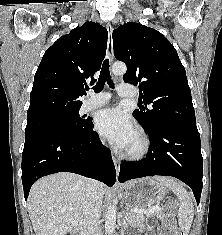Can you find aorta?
<instances>
[{"label": "aorta", "mask_w": 222, "mask_h": 235, "mask_svg": "<svg viewBox=\"0 0 222 235\" xmlns=\"http://www.w3.org/2000/svg\"><path fill=\"white\" fill-rule=\"evenodd\" d=\"M127 71V67L122 62H116L112 66V72L115 75H124ZM116 225V207L114 205L109 206L105 216V231L107 235H112Z\"/></svg>", "instance_id": "1"}]
</instances>
